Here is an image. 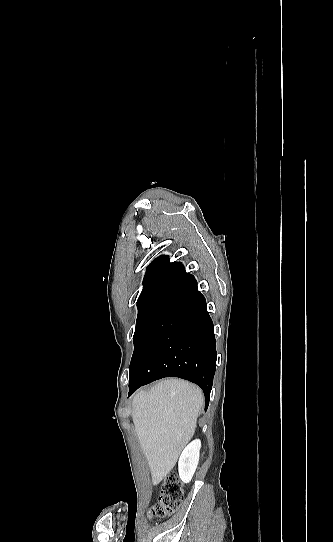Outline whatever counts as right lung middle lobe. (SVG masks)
<instances>
[{
  "mask_svg": "<svg viewBox=\"0 0 333 542\" xmlns=\"http://www.w3.org/2000/svg\"><path fill=\"white\" fill-rule=\"evenodd\" d=\"M157 304H158V301L138 306V317H137L136 328H135V333H134V337H133L135 348H134V353H133L131 361L133 360V358L135 356L137 343H138V340H139V338H140V336L142 334L145 323H146L150 313L152 312V310L155 308V306Z\"/></svg>",
  "mask_w": 333,
  "mask_h": 542,
  "instance_id": "obj_1",
  "label": "right lung middle lobe"
}]
</instances>
